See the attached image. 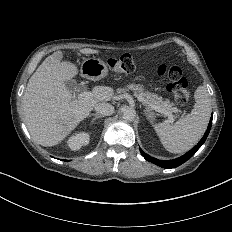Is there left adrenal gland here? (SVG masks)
I'll list each match as a JSON object with an SVG mask.
<instances>
[{
    "instance_id": "1",
    "label": "left adrenal gland",
    "mask_w": 232,
    "mask_h": 232,
    "mask_svg": "<svg viewBox=\"0 0 232 232\" xmlns=\"http://www.w3.org/2000/svg\"><path fill=\"white\" fill-rule=\"evenodd\" d=\"M146 117L150 121V123L153 124V120L155 119L154 112H151L146 109Z\"/></svg>"
}]
</instances>
